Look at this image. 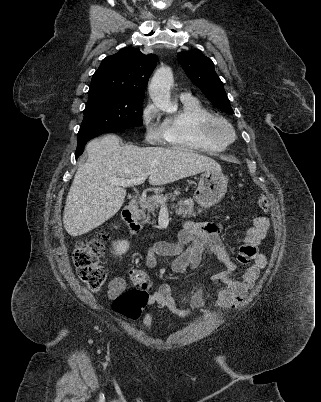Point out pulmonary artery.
Segmentation results:
<instances>
[{
  "instance_id": "obj_1",
  "label": "pulmonary artery",
  "mask_w": 321,
  "mask_h": 402,
  "mask_svg": "<svg viewBox=\"0 0 321 402\" xmlns=\"http://www.w3.org/2000/svg\"><path fill=\"white\" fill-rule=\"evenodd\" d=\"M188 97H190L189 94H186V93H181V94H180V98H181V99H185V98H188Z\"/></svg>"
}]
</instances>
